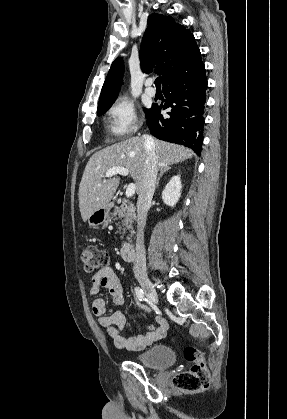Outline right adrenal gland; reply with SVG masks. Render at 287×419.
Returning <instances> with one entry per match:
<instances>
[{"instance_id":"obj_1","label":"right adrenal gland","mask_w":287,"mask_h":419,"mask_svg":"<svg viewBox=\"0 0 287 419\" xmlns=\"http://www.w3.org/2000/svg\"><path fill=\"white\" fill-rule=\"evenodd\" d=\"M170 169H171V167H170V166H163V167L160 169V174H159V177H158V179H157V182H156V186H155V188H158V186H159V181H160L161 177H162V176H163L166 172H168Z\"/></svg>"}]
</instances>
